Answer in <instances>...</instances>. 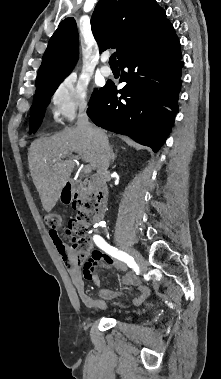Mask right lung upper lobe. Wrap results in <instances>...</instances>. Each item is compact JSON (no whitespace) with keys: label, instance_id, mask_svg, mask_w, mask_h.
Masks as SVG:
<instances>
[{"label":"right lung upper lobe","instance_id":"cb5924a9","mask_svg":"<svg viewBox=\"0 0 221 379\" xmlns=\"http://www.w3.org/2000/svg\"><path fill=\"white\" fill-rule=\"evenodd\" d=\"M165 11L156 0H100L91 28L100 51L116 48L119 59L165 23ZM78 54V32L74 18L60 22L49 40L38 70L36 90L64 79Z\"/></svg>","mask_w":221,"mask_h":379}]
</instances>
